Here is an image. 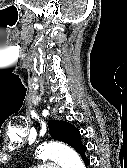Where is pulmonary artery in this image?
<instances>
[{
	"mask_svg": "<svg viewBox=\"0 0 127 168\" xmlns=\"http://www.w3.org/2000/svg\"><path fill=\"white\" fill-rule=\"evenodd\" d=\"M32 168H59V166L55 163H44Z\"/></svg>",
	"mask_w": 127,
	"mask_h": 168,
	"instance_id": "pulmonary-artery-1",
	"label": "pulmonary artery"
}]
</instances>
